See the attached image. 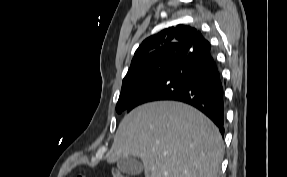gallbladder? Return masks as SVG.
Here are the masks:
<instances>
[{"label": "gallbladder", "instance_id": "obj_1", "mask_svg": "<svg viewBox=\"0 0 287 177\" xmlns=\"http://www.w3.org/2000/svg\"><path fill=\"white\" fill-rule=\"evenodd\" d=\"M118 169L131 176L140 175L143 171V166L139 160L133 156L121 157L117 161Z\"/></svg>", "mask_w": 287, "mask_h": 177}]
</instances>
